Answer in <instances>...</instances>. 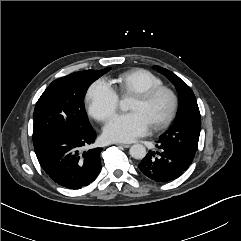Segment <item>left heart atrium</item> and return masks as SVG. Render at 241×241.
Here are the masks:
<instances>
[{"instance_id":"obj_1","label":"left heart atrium","mask_w":241,"mask_h":241,"mask_svg":"<svg viewBox=\"0 0 241 241\" xmlns=\"http://www.w3.org/2000/svg\"><path fill=\"white\" fill-rule=\"evenodd\" d=\"M151 123L141 112L119 114L109 120L104 128V137L110 142H132L147 134Z\"/></svg>"}]
</instances>
